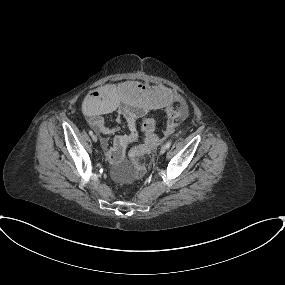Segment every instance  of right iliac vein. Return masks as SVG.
Returning <instances> with one entry per match:
<instances>
[{"mask_svg": "<svg viewBox=\"0 0 285 285\" xmlns=\"http://www.w3.org/2000/svg\"><path fill=\"white\" fill-rule=\"evenodd\" d=\"M92 140H93L94 142H97L98 137H97L96 135H92Z\"/></svg>", "mask_w": 285, "mask_h": 285, "instance_id": "obj_1", "label": "right iliac vein"}]
</instances>
